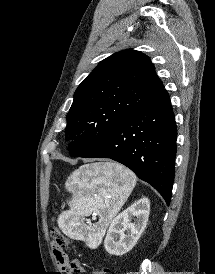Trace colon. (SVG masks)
Here are the masks:
<instances>
[{
	"label": "colon",
	"instance_id": "obj_1",
	"mask_svg": "<svg viewBox=\"0 0 215 274\" xmlns=\"http://www.w3.org/2000/svg\"><path fill=\"white\" fill-rule=\"evenodd\" d=\"M52 237L54 243L61 247H66L69 244L67 237L62 233V231L56 226L52 227ZM99 274H110L109 269H102Z\"/></svg>",
	"mask_w": 215,
	"mask_h": 274
}]
</instances>
